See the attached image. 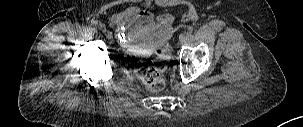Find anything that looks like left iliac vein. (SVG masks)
<instances>
[{"label": "left iliac vein", "instance_id": "4c4485c4", "mask_svg": "<svg viewBox=\"0 0 303 127\" xmlns=\"http://www.w3.org/2000/svg\"><path fill=\"white\" fill-rule=\"evenodd\" d=\"M187 43L186 38L183 35L179 36V45H185Z\"/></svg>", "mask_w": 303, "mask_h": 127}]
</instances>
